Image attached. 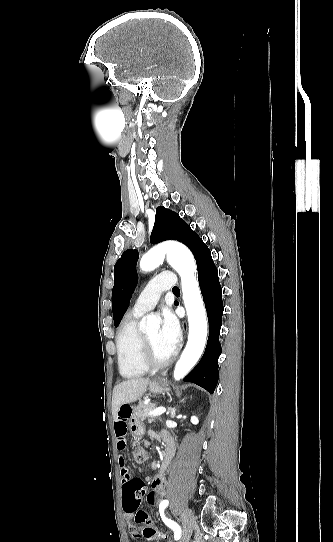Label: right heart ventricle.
I'll return each instance as SVG.
<instances>
[{
	"label": "right heart ventricle",
	"mask_w": 333,
	"mask_h": 542,
	"mask_svg": "<svg viewBox=\"0 0 333 542\" xmlns=\"http://www.w3.org/2000/svg\"><path fill=\"white\" fill-rule=\"evenodd\" d=\"M140 316L130 313V318L121 325L115 339L119 372L127 379L139 378L148 370L139 359L142 336L138 328Z\"/></svg>",
	"instance_id": "1"
}]
</instances>
